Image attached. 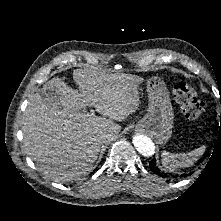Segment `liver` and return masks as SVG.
I'll use <instances>...</instances> for the list:
<instances>
[{
    "mask_svg": "<svg viewBox=\"0 0 221 221\" xmlns=\"http://www.w3.org/2000/svg\"><path fill=\"white\" fill-rule=\"evenodd\" d=\"M73 78L79 92L63 79L53 78L41 89L55 91L57 102L47 104L40 92L30 96L23 116V141L27 154L40 170L55 181L74 180L89 171L101 146L117 137L122 121L140 104L143 79L130 74H106L76 69ZM95 107L102 115L86 112Z\"/></svg>",
    "mask_w": 221,
    "mask_h": 221,
    "instance_id": "obj_1",
    "label": "liver"
}]
</instances>
